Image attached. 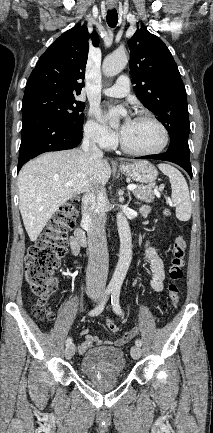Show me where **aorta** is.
<instances>
[{
	"label": "aorta",
	"mask_w": 213,
	"mask_h": 433,
	"mask_svg": "<svg viewBox=\"0 0 213 433\" xmlns=\"http://www.w3.org/2000/svg\"><path fill=\"white\" fill-rule=\"evenodd\" d=\"M128 58L124 51H117L107 56L102 65L103 73L108 77L119 74L127 65ZM112 111L122 112V108H112ZM117 227L120 237L119 260L109 283L111 288H120L132 260V239L127 218L123 213L117 214Z\"/></svg>",
	"instance_id": "1"
}]
</instances>
